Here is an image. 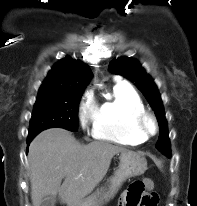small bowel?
Masks as SVG:
<instances>
[{
    "label": "small bowel",
    "mask_w": 197,
    "mask_h": 206,
    "mask_svg": "<svg viewBox=\"0 0 197 206\" xmlns=\"http://www.w3.org/2000/svg\"><path fill=\"white\" fill-rule=\"evenodd\" d=\"M127 192H128V191H126V192L122 195L119 206H129V204H128V202H127Z\"/></svg>",
    "instance_id": "small-bowel-1"
}]
</instances>
